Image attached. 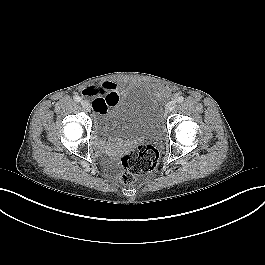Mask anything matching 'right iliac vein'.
<instances>
[{
  "instance_id": "1",
  "label": "right iliac vein",
  "mask_w": 265,
  "mask_h": 265,
  "mask_svg": "<svg viewBox=\"0 0 265 265\" xmlns=\"http://www.w3.org/2000/svg\"><path fill=\"white\" fill-rule=\"evenodd\" d=\"M81 105L83 106V108L87 111V112H90L91 110V106H90V103L87 101V100H83L81 102Z\"/></svg>"
}]
</instances>
